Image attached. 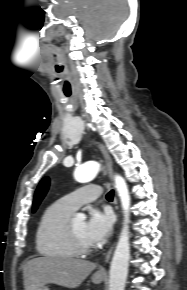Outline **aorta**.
Returning <instances> with one entry per match:
<instances>
[{
    "instance_id": "1",
    "label": "aorta",
    "mask_w": 187,
    "mask_h": 290,
    "mask_svg": "<svg viewBox=\"0 0 187 290\" xmlns=\"http://www.w3.org/2000/svg\"><path fill=\"white\" fill-rule=\"evenodd\" d=\"M99 171L100 164L95 161H90L79 166L74 172V177L80 183H87L92 181L98 175ZM115 187L121 200L124 223L110 265L108 290H124L130 258L128 227L130 195L127 184L121 176H115ZM76 219L84 221L86 216L83 213H78L76 214Z\"/></svg>"
}]
</instances>
